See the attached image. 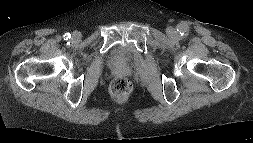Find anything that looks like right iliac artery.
Returning a JSON list of instances; mask_svg holds the SVG:
<instances>
[{"label":"right iliac artery","instance_id":"82829eb1","mask_svg":"<svg viewBox=\"0 0 253 143\" xmlns=\"http://www.w3.org/2000/svg\"><path fill=\"white\" fill-rule=\"evenodd\" d=\"M71 37V35H70V33H66L65 35H64V38L67 40L68 38H70Z\"/></svg>","mask_w":253,"mask_h":143}]
</instances>
